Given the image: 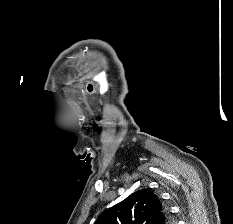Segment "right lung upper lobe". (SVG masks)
Wrapping results in <instances>:
<instances>
[{"instance_id": "obj_1", "label": "right lung upper lobe", "mask_w": 233, "mask_h": 224, "mask_svg": "<svg viewBox=\"0 0 233 224\" xmlns=\"http://www.w3.org/2000/svg\"><path fill=\"white\" fill-rule=\"evenodd\" d=\"M168 210L149 189L139 190L104 211L94 224H172Z\"/></svg>"}]
</instances>
